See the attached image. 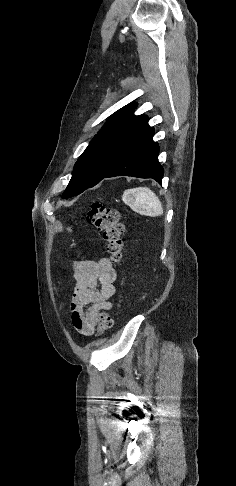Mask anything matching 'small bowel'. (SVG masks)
Instances as JSON below:
<instances>
[{
	"instance_id": "1",
	"label": "small bowel",
	"mask_w": 236,
	"mask_h": 486,
	"mask_svg": "<svg viewBox=\"0 0 236 486\" xmlns=\"http://www.w3.org/2000/svg\"><path fill=\"white\" fill-rule=\"evenodd\" d=\"M75 287L70 304L73 327L82 335L94 333L99 314L113 307L117 272L107 258L74 264Z\"/></svg>"
}]
</instances>
